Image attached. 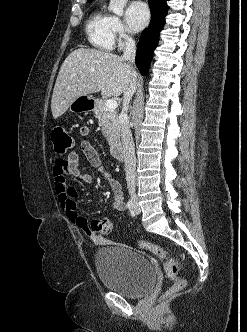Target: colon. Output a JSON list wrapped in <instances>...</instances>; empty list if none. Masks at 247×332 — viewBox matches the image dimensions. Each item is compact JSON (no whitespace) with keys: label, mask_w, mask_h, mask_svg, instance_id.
Returning a JSON list of instances; mask_svg holds the SVG:
<instances>
[{"label":"colon","mask_w":247,"mask_h":332,"mask_svg":"<svg viewBox=\"0 0 247 332\" xmlns=\"http://www.w3.org/2000/svg\"><path fill=\"white\" fill-rule=\"evenodd\" d=\"M54 150L58 155H65L74 147V140L71 135L62 127L54 128L51 133ZM91 228L94 232L107 234L113 231L114 224L106 218L94 219L91 222ZM138 246L146 251L151 252L158 258L164 260V267L168 277L173 281L171 287L165 293L169 297L182 290L186 281L183 277L184 264L179 259L170 255V253L157 244L147 241H139Z\"/></svg>","instance_id":"obj_1"}]
</instances>
